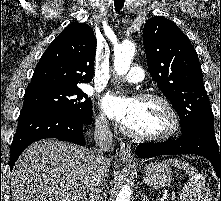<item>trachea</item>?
<instances>
[{"label": "trachea", "instance_id": "1", "mask_svg": "<svg viewBox=\"0 0 221 201\" xmlns=\"http://www.w3.org/2000/svg\"><path fill=\"white\" fill-rule=\"evenodd\" d=\"M125 0H114V6L116 11H120L124 5Z\"/></svg>", "mask_w": 221, "mask_h": 201}]
</instances>
